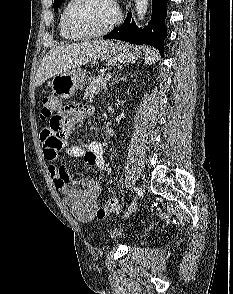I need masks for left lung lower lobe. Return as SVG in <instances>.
<instances>
[{
    "instance_id": "0a47b994",
    "label": "left lung lower lobe",
    "mask_w": 233,
    "mask_h": 294,
    "mask_svg": "<svg viewBox=\"0 0 233 294\" xmlns=\"http://www.w3.org/2000/svg\"><path fill=\"white\" fill-rule=\"evenodd\" d=\"M167 2L168 0H152V19L144 29L137 28L134 22L131 23V13H128L124 23L104 38L122 40L136 45L148 44L157 48L163 55L164 39L167 34L165 27Z\"/></svg>"
}]
</instances>
